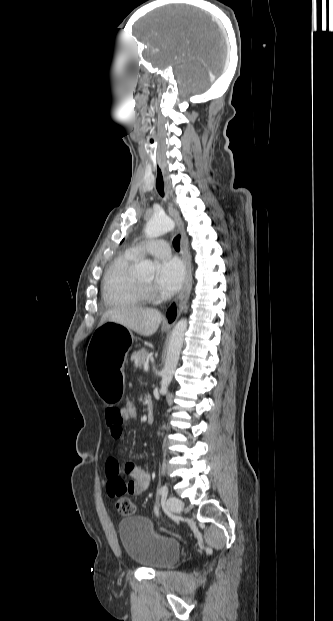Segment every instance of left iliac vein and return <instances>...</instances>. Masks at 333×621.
<instances>
[{"mask_svg":"<svg viewBox=\"0 0 333 621\" xmlns=\"http://www.w3.org/2000/svg\"><path fill=\"white\" fill-rule=\"evenodd\" d=\"M167 506L172 513L181 512L184 504L183 502L176 497H169L167 501Z\"/></svg>","mask_w":333,"mask_h":621,"instance_id":"left-iliac-vein-1","label":"left iliac vein"}]
</instances>
